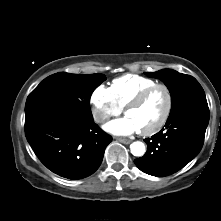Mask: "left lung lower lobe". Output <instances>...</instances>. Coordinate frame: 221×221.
Segmentation results:
<instances>
[{"label":"left lung lower lobe","instance_id":"obj_1","mask_svg":"<svg viewBox=\"0 0 221 221\" xmlns=\"http://www.w3.org/2000/svg\"><path fill=\"white\" fill-rule=\"evenodd\" d=\"M209 122L206 97L189 101L170 113L159 133L147 138V152L136 166L152 176L171 175L200 152Z\"/></svg>","mask_w":221,"mask_h":221}]
</instances>
